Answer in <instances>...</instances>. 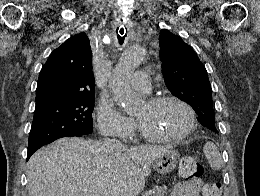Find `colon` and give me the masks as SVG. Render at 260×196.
<instances>
[{"label":"colon","instance_id":"colon-1","mask_svg":"<svg viewBox=\"0 0 260 196\" xmlns=\"http://www.w3.org/2000/svg\"><path fill=\"white\" fill-rule=\"evenodd\" d=\"M204 171L202 165L191 159H182L179 164V178L184 183L202 181Z\"/></svg>","mask_w":260,"mask_h":196}]
</instances>
